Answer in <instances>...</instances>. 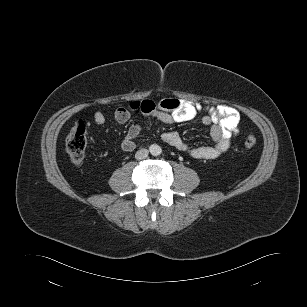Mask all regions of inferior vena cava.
<instances>
[{
    "label": "inferior vena cava",
    "mask_w": 307,
    "mask_h": 307,
    "mask_svg": "<svg viewBox=\"0 0 307 307\" xmlns=\"http://www.w3.org/2000/svg\"><path fill=\"white\" fill-rule=\"evenodd\" d=\"M149 151L147 149H140L136 152L135 158L137 160H142L148 157Z\"/></svg>",
    "instance_id": "1"
}]
</instances>
